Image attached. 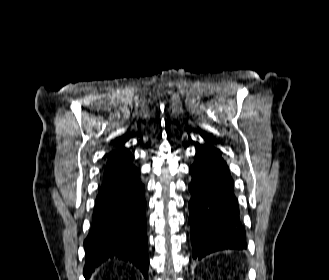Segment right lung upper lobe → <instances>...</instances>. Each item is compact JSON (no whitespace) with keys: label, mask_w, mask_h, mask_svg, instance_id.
Wrapping results in <instances>:
<instances>
[{"label":"right lung upper lobe","mask_w":329,"mask_h":280,"mask_svg":"<svg viewBox=\"0 0 329 280\" xmlns=\"http://www.w3.org/2000/svg\"><path fill=\"white\" fill-rule=\"evenodd\" d=\"M126 141L127 139L120 140L117 148L110 152L107 165L132 162V154L123 146Z\"/></svg>","instance_id":"right-lung-upper-lobe-1"}]
</instances>
